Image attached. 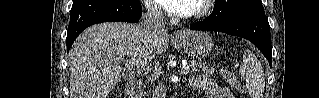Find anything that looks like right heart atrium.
I'll list each match as a JSON object with an SVG mask.
<instances>
[{
  "mask_svg": "<svg viewBox=\"0 0 319 98\" xmlns=\"http://www.w3.org/2000/svg\"><path fill=\"white\" fill-rule=\"evenodd\" d=\"M148 11L155 16L161 15V9L158 5H151Z\"/></svg>",
  "mask_w": 319,
  "mask_h": 98,
  "instance_id": "obj_1",
  "label": "right heart atrium"
}]
</instances>
